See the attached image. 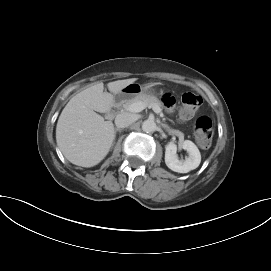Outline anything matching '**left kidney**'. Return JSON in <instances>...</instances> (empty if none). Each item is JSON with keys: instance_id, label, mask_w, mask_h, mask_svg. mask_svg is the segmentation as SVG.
<instances>
[{"instance_id": "5707ae66", "label": "left kidney", "mask_w": 271, "mask_h": 271, "mask_svg": "<svg viewBox=\"0 0 271 271\" xmlns=\"http://www.w3.org/2000/svg\"><path fill=\"white\" fill-rule=\"evenodd\" d=\"M182 148L188 152L185 160H179L177 156V145L169 142L165 147V163L169 169L178 173H187L196 169L201 162V154L197 146L190 140L182 143Z\"/></svg>"}]
</instances>
